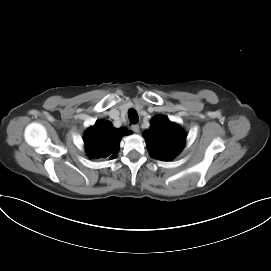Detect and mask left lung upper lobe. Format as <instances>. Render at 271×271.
Returning <instances> with one entry per match:
<instances>
[{
  "mask_svg": "<svg viewBox=\"0 0 271 271\" xmlns=\"http://www.w3.org/2000/svg\"><path fill=\"white\" fill-rule=\"evenodd\" d=\"M143 135L150 155L164 161L172 160L183 149L186 139L180 126L162 115L151 120L150 129Z\"/></svg>",
  "mask_w": 271,
  "mask_h": 271,
  "instance_id": "5c2ea615",
  "label": "left lung upper lobe"
}]
</instances>
